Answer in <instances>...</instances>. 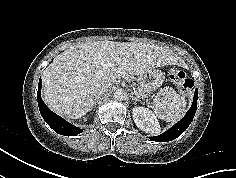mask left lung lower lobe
Listing matches in <instances>:
<instances>
[{
  "mask_svg": "<svg viewBox=\"0 0 236 178\" xmlns=\"http://www.w3.org/2000/svg\"><path fill=\"white\" fill-rule=\"evenodd\" d=\"M197 98H198V91L196 90L193 98V104L186 113V115L166 132H164L159 136L151 137L150 139L152 141L167 142L179 137L188 128V126L190 125V123L194 118L197 108Z\"/></svg>",
  "mask_w": 236,
  "mask_h": 178,
  "instance_id": "obj_1",
  "label": "left lung lower lobe"
}]
</instances>
